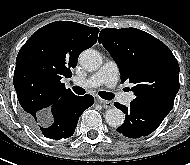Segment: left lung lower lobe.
<instances>
[{
  "label": "left lung lower lobe",
  "instance_id": "obj_1",
  "mask_svg": "<svg viewBox=\"0 0 190 165\" xmlns=\"http://www.w3.org/2000/svg\"><path fill=\"white\" fill-rule=\"evenodd\" d=\"M114 105L125 113V122L117 131L129 138H140L151 134L171 110L163 106L133 101L129 107L118 102H115Z\"/></svg>",
  "mask_w": 190,
  "mask_h": 165
}]
</instances>
